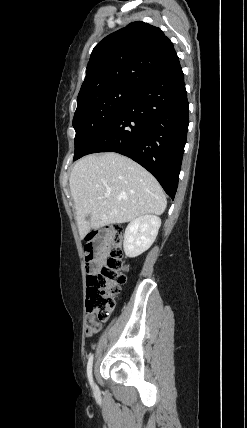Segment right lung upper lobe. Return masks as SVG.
Instances as JSON below:
<instances>
[{"instance_id":"obj_1","label":"right lung upper lobe","mask_w":247,"mask_h":428,"mask_svg":"<svg viewBox=\"0 0 247 428\" xmlns=\"http://www.w3.org/2000/svg\"><path fill=\"white\" fill-rule=\"evenodd\" d=\"M178 60L173 43L160 28L133 22L94 47L78 96L114 86L141 90Z\"/></svg>"}]
</instances>
